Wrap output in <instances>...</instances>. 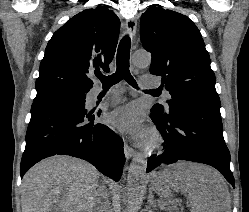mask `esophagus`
I'll list each match as a JSON object with an SVG mask.
<instances>
[{"label":"esophagus","instance_id":"34e87169","mask_svg":"<svg viewBox=\"0 0 249 212\" xmlns=\"http://www.w3.org/2000/svg\"><path fill=\"white\" fill-rule=\"evenodd\" d=\"M126 31L130 35L132 40L136 38L137 32V20L135 18H128L125 23ZM124 152L126 158H132L135 155V150L130 147L127 143L124 144Z\"/></svg>","mask_w":249,"mask_h":212}]
</instances>
